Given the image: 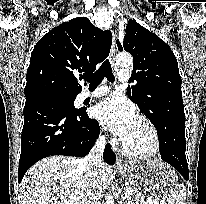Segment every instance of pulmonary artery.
Listing matches in <instances>:
<instances>
[{
	"label": "pulmonary artery",
	"instance_id": "pulmonary-artery-1",
	"mask_svg": "<svg viewBox=\"0 0 206 204\" xmlns=\"http://www.w3.org/2000/svg\"><path fill=\"white\" fill-rule=\"evenodd\" d=\"M119 79L121 81H127L129 78V71L127 70H121L118 73ZM109 92V87L108 86H100L98 88H96L94 91H87L83 94L84 98H88V97H97V96H102L105 95Z\"/></svg>",
	"mask_w": 206,
	"mask_h": 204
}]
</instances>
